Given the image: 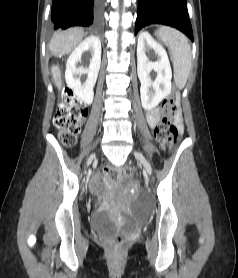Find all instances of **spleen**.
Returning a JSON list of instances; mask_svg holds the SVG:
<instances>
[{
  "mask_svg": "<svg viewBox=\"0 0 238 278\" xmlns=\"http://www.w3.org/2000/svg\"><path fill=\"white\" fill-rule=\"evenodd\" d=\"M157 37L169 48L174 68V81L179 89H183L192 65L191 47L187 37L180 31L170 27H160Z\"/></svg>",
  "mask_w": 238,
  "mask_h": 278,
  "instance_id": "obj_1",
  "label": "spleen"
}]
</instances>
